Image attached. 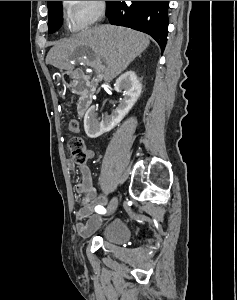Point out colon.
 <instances>
[{"mask_svg":"<svg viewBox=\"0 0 237 300\" xmlns=\"http://www.w3.org/2000/svg\"><path fill=\"white\" fill-rule=\"evenodd\" d=\"M67 147L70 150L74 160L78 164L86 163L88 157L85 149L84 142L79 137H72L67 141Z\"/></svg>","mask_w":237,"mask_h":300,"instance_id":"5ec220e1","label":"colon"}]
</instances>
